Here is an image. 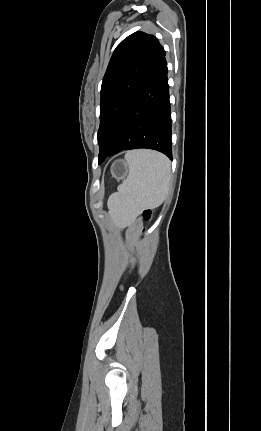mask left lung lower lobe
Masks as SVG:
<instances>
[{"mask_svg":"<svg viewBox=\"0 0 261 431\" xmlns=\"http://www.w3.org/2000/svg\"><path fill=\"white\" fill-rule=\"evenodd\" d=\"M165 56L145 79L129 105L108 156L148 148L172 159L171 114Z\"/></svg>","mask_w":261,"mask_h":431,"instance_id":"left-lung-lower-lobe-1","label":"left lung lower lobe"}]
</instances>
